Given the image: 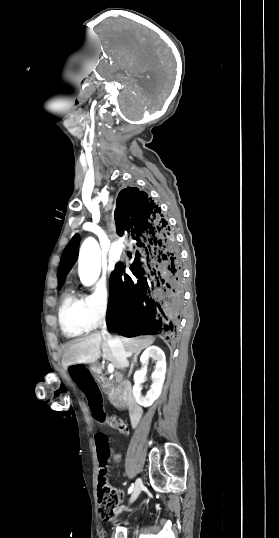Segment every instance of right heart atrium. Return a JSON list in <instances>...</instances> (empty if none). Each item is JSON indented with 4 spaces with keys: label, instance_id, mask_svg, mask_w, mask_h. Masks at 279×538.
Segmentation results:
<instances>
[{
    "label": "right heart atrium",
    "instance_id": "d8ad5b80",
    "mask_svg": "<svg viewBox=\"0 0 279 538\" xmlns=\"http://www.w3.org/2000/svg\"><path fill=\"white\" fill-rule=\"evenodd\" d=\"M86 297V316L90 328H96L110 316L113 308L111 295L106 287L95 288Z\"/></svg>",
    "mask_w": 279,
    "mask_h": 538
}]
</instances>
